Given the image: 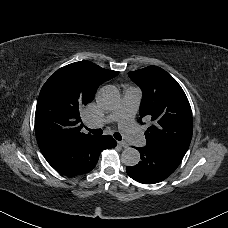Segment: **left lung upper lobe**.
Wrapping results in <instances>:
<instances>
[{"label":"left lung upper lobe","instance_id":"left-lung-upper-lobe-1","mask_svg":"<svg viewBox=\"0 0 228 228\" xmlns=\"http://www.w3.org/2000/svg\"><path fill=\"white\" fill-rule=\"evenodd\" d=\"M142 90L140 119L150 120L145 132L148 144L162 145L185 154L192 133L189 101L178 82L165 70L149 66L128 73Z\"/></svg>","mask_w":228,"mask_h":228}]
</instances>
